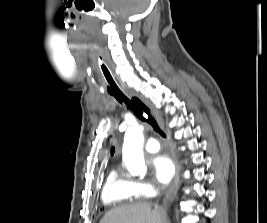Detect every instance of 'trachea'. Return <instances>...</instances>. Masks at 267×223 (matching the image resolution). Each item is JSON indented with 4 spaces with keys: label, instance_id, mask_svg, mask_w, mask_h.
<instances>
[{
    "label": "trachea",
    "instance_id": "1",
    "mask_svg": "<svg viewBox=\"0 0 267 223\" xmlns=\"http://www.w3.org/2000/svg\"><path fill=\"white\" fill-rule=\"evenodd\" d=\"M102 71L108 85L113 89L112 96L119 103H125L128 108L133 110L137 118L151 125L155 132L159 133L162 137H166L165 133L159 127L156 119L151 115L150 109L145 106L137 97H132L131 99H129L121 90L119 83L109 72L105 65H102Z\"/></svg>",
    "mask_w": 267,
    "mask_h": 223
}]
</instances>
